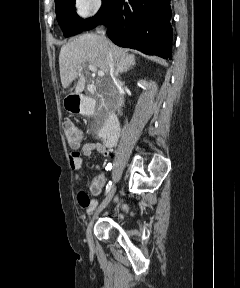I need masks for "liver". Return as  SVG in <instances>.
I'll return each mask as SVG.
<instances>
[{
	"label": "liver",
	"instance_id": "6515ba94",
	"mask_svg": "<svg viewBox=\"0 0 240 288\" xmlns=\"http://www.w3.org/2000/svg\"><path fill=\"white\" fill-rule=\"evenodd\" d=\"M108 52L112 55L116 64L133 62L135 57L128 54L109 40H104L100 35L86 33L80 35L73 41L63 45L59 54L60 78L63 88H68L79 75L75 93H81L85 88L86 78L77 73L86 64L94 65L109 76V65L107 61Z\"/></svg>",
	"mask_w": 240,
	"mask_h": 288
}]
</instances>
